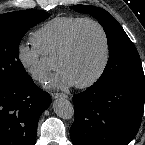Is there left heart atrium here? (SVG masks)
I'll use <instances>...</instances> for the list:
<instances>
[{"label": "left heart atrium", "mask_w": 145, "mask_h": 145, "mask_svg": "<svg viewBox=\"0 0 145 145\" xmlns=\"http://www.w3.org/2000/svg\"><path fill=\"white\" fill-rule=\"evenodd\" d=\"M48 85L53 88L66 89L73 86L74 82L64 71L57 70L50 79Z\"/></svg>", "instance_id": "39dd6f15"}]
</instances>
